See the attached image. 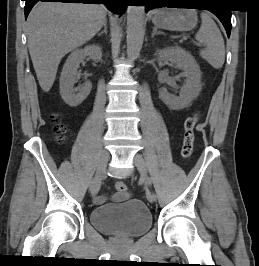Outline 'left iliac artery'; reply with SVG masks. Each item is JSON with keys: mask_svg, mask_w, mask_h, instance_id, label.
<instances>
[{"mask_svg": "<svg viewBox=\"0 0 259 266\" xmlns=\"http://www.w3.org/2000/svg\"><path fill=\"white\" fill-rule=\"evenodd\" d=\"M147 188H153V185H152L150 178H148ZM152 198L157 199L156 192H152Z\"/></svg>", "mask_w": 259, "mask_h": 266, "instance_id": "1", "label": "left iliac artery"}]
</instances>
